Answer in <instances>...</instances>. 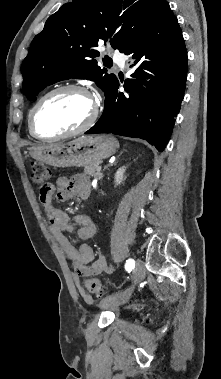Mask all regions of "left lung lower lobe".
Segmentation results:
<instances>
[{"instance_id": "1", "label": "left lung lower lobe", "mask_w": 221, "mask_h": 379, "mask_svg": "<svg viewBox=\"0 0 221 379\" xmlns=\"http://www.w3.org/2000/svg\"><path fill=\"white\" fill-rule=\"evenodd\" d=\"M137 67L118 92L116 79L105 92V108L86 134L113 133L147 140L162 151L184 97L187 51L177 18L165 1L152 25L123 52ZM151 71L147 89L142 82Z\"/></svg>"}]
</instances>
